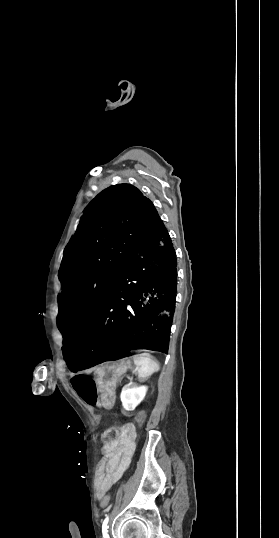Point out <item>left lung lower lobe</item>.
I'll return each instance as SVG.
<instances>
[{"mask_svg":"<svg viewBox=\"0 0 279 538\" xmlns=\"http://www.w3.org/2000/svg\"><path fill=\"white\" fill-rule=\"evenodd\" d=\"M176 254L158 217L131 255L92 321L65 334L64 359L73 372L132 349L168 353L177 285Z\"/></svg>","mask_w":279,"mask_h":538,"instance_id":"left-lung-lower-lobe-1","label":"left lung lower lobe"}]
</instances>
